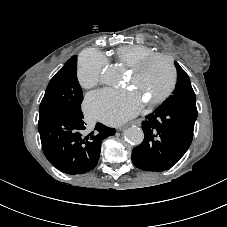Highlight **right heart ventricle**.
Segmentation results:
<instances>
[{
	"label": "right heart ventricle",
	"mask_w": 227,
	"mask_h": 227,
	"mask_svg": "<svg viewBox=\"0 0 227 227\" xmlns=\"http://www.w3.org/2000/svg\"><path fill=\"white\" fill-rule=\"evenodd\" d=\"M154 53H156L154 49L144 45H122L113 51L116 61L127 67Z\"/></svg>",
	"instance_id": "right-heart-ventricle-1"
}]
</instances>
